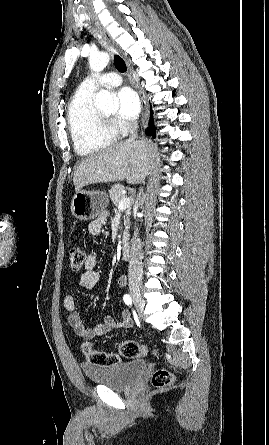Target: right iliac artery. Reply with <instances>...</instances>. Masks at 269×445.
I'll list each match as a JSON object with an SVG mask.
<instances>
[{
    "label": "right iliac artery",
    "mask_w": 269,
    "mask_h": 445,
    "mask_svg": "<svg viewBox=\"0 0 269 445\" xmlns=\"http://www.w3.org/2000/svg\"><path fill=\"white\" fill-rule=\"evenodd\" d=\"M123 300H124V302H125L126 305H128V306H131V305H132V299H131L130 295L125 294V295L123 296Z\"/></svg>",
    "instance_id": "right-iliac-artery-1"
}]
</instances>
